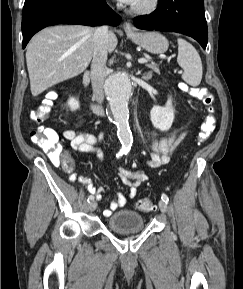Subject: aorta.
<instances>
[{
  "mask_svg": "<svg viewBox=\"0 0 243 289\" xmlns=\"http://www.w3.org/2000/svg\"><path fill=\"white\" fill-rule=\"evenodd\" d=\"M104 88L113 120L117 126L121 151L128 152L133 143L132 132L128 122V100L132 89L130 79L125 72L112 74L107 78Z\"/></svg>",
  "mask_w": 243,
  "mask_h": 289,
  "instance_id": "1",
  "label": "aorta"
}]
</instances>
